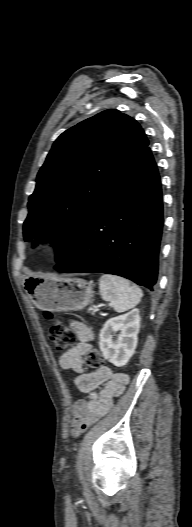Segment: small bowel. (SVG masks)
Segmentation results:
<instances>
[{
    "label": "small bowel",
    "instance_id": "obj_1",
    "mask_svg": "<svg viewBox=\"0 0 192 527\" xmlns=\"http://www.w3.org/2000/svg\"><path fill=\"white\" fill-rule=\"evenodd\" d=\"M79 342L59 357L62 369L77 373L74 384L77 389L87 394V398L75 402L72 407L70 431L73 436L81 434L90 424L105 415L113 405V399L121 395L128 383L125 373L113 372L104 367L93 373L84 370V355L91 349L92 330L81 322H72Z\"/></svg>",
    "mask_w": 192,
    "mask_h": 527
}]
</instances>
